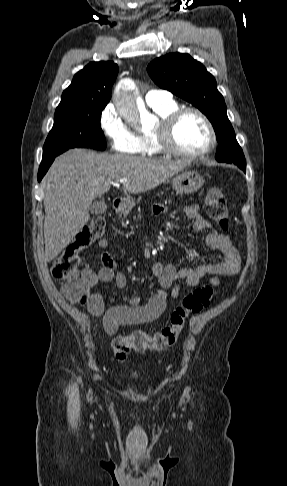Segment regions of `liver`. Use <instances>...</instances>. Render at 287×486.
Segmentation results:
<instances>
[{"label": "liver", "mask_w": 287, "mask_h": 486, "mask_svg": "<svg viewBox=\"0 0 287 486\" xmlns=\"http://www.w3.org/2000/svg\"><path fill=\"white\" fill-rule=\"evenodd\" d=\"M189 163L122 154H99L86 149L58 156L43 179L45 186L44 242L47 261L53 260L90 219L93 200L124 179L132 194L151 190Z\"/></svg>", "instance_id": "obj_1"}]
</instances>
